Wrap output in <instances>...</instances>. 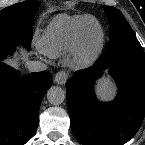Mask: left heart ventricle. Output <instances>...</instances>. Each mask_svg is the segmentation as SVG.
Here are the masks:
<instances>
[{
    "mask_svg": "<svg viewBox=\"0 0 145 145\" xmlns=\"http://www.w3.org/2000/svg\"><path fill=\"white\" fill-rule=\"evenodd\" d=\"M89 34H90L91 36H93V35L95 34V30H94L93 27H90V29H89Z\"/></svg>",
    "mask_w": 145,
    "mask_h": 145,
    "instance_id": "1",
    "label": "left heart ventricle"
}]
</instances>
